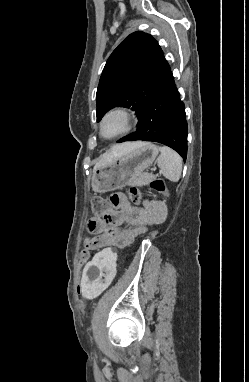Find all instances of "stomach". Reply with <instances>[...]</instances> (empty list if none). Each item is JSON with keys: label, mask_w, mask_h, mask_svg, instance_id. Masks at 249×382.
Listing matches in <instances>:
<instances>
[{"label": "stomach", "mask_w": 249, "mask_h": 382, "mask_svg": "<svg viewBox=\"0 0 249 382\" xmlns=\"http://www.w3.org/2000/svg\"><path fill=\"white\" fill-rule=\"evenodd\" d=\"M158 153V146L142 143L139 147L116 157L108 165L94 171L91 181L93 191L103 193L128 185L133 178L140 176L154 163Z\"/></svg>", "instance_id": "0dacf381"}]
</instances>
